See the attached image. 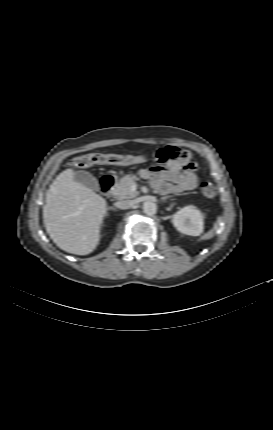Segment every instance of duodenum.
<instances>
[{
	"instance_id": "1",
	"label": "duodenum",
	"mask_w": 273,
	"mask_h": 430,
	"mask_svg": "<svg viewBox=\"0 0 273 430\" xmlns=\"http://www.w3.org/2000/svg\"><path fill=\"white\" fill-rule=\"evenodd\" d=\"M116 182V178L112 175H105L100 180V192L104 195L111 193V190Z\"/></svg>"
}]
</instances>
